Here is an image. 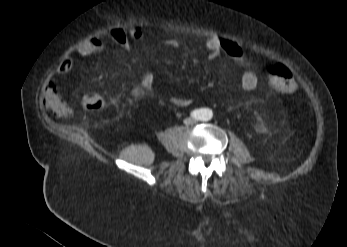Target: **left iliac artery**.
I'll list each match as a JSON object with an SVG mask.
<instances>
[{"instance_id":"1","label":"left iliac artery","mask_w":347,"mask_h":247,"mask_svg":"<svg viewBox=\"0 0 347 247\" xmlns=\"http://www.w3.org/2000/svg\"><path fill=\"white\" fill-rule=\"evenodd\" d=\"M209 117H210V114L209 113H207L205 116H204V120H208L209 119Z\"/></svg>"}]
</instances>
